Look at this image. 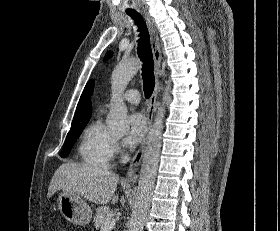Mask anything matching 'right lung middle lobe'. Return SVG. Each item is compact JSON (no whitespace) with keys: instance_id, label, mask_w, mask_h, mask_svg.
I'll list each match as a JSON object with an SVG mask.
<instances>
[{"instance_id":"obj_1","label":"right lung middle lobe","mask_w":280,"mask_h":231,"mask_svg":"<svg viewBox=\"0 0 280 231\" xmlns=\"http://www.w3.org/2000/svg\"><path fill=\"white\" fill-rule=\"evenodd\" d=\"M86 124L70 129V131L67 134V138H66V141L64 143V146H63V151L60 154V156L62 158L68 156V154L70 153L71 148L73 147V145L76 142L77 138L80 136L81 132L85 128Z\"/></svg>"}]
</instances>
